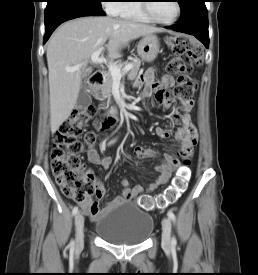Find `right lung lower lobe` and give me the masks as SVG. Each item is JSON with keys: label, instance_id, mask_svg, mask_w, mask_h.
Listing matches in <instances>:
<instances>
[{"label": "right lung lower lobe", "instance_id": "obj_1", "mask_svg": "<svg viewBox=\"0 0 258 275\" xmlns=\"http://www.w3.org/2000/svg\"><path fill=\"white\" fill-rule=\"evenodd\" d=\"M100 15H105L102 7L87 2L63 1L47 6L45 9L44 43L61 23L78 17Z\"/></svg>", "mask_w": 258, "mask_h": 275}]
</instances>
